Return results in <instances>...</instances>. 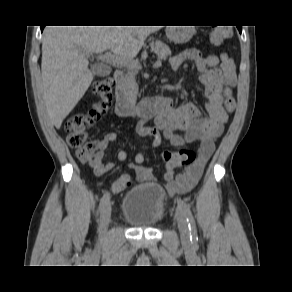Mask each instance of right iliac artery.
<instances>
[{"label": "right iliac artery", "mask_w": 292, "mask_h": 292, "mask_svg": "<svg viewBox=\"0 0 292 292\" xmlns=\"http://www.w3.org/2000/svg\"><path fill=\"white\" fill-rule=\"evenodd\" d=\"M109 200H110V193L105 192L100 200L99 211H101L104 208V206L109 202Z\"/></svg>", "instance_id": "obj_1"}]
</instances>
